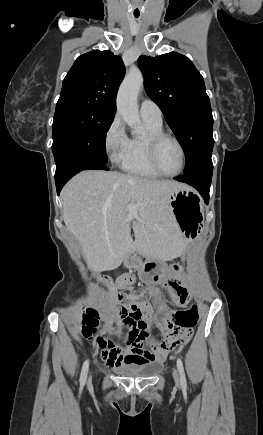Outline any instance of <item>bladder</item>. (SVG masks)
<instances>
[{"instance_id":"obj_1","label":"bladder","mask_w":263,"mask_h":435,"mask_svg":"<svg viewBox=\"0 0 263 435\" xmlns=\"http://www.w3.org/2000/svg\"><path fill=\"white\" fill-rule=\"evenodd\" d=\"M160 370V364H145L135 367H122L119 369V372L122 375L131 377H150L157 374Z\"/></svg>"}]
</instances>
